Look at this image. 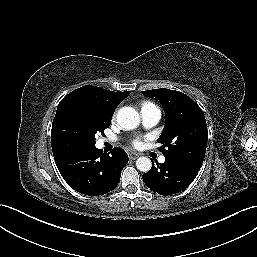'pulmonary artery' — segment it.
<instances>
[{"instance_id": "pulmonary-artery-1", "label": "pulmonary artery", "mask_w": 257, "mask_h": 257, "mask_svg": "<svg viewBox=\"0 0 257 257\" xmlns=\"http://www.w3.org/2000/svg\"><path fill=\"white\" fill-rule=\"evenodd\" d=\"M161 118V112L158 108H147L141 111V120L145 127L150 128L158 124ZM159 162L164 163L165 157L160 156Z\"/></svg>"}]
</instances>
